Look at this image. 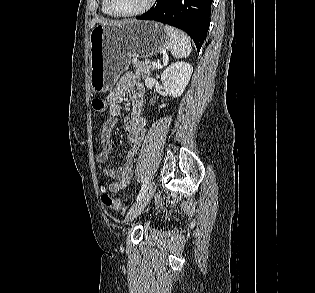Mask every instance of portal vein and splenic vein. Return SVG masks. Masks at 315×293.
<instances>
[{"mask_svg": "<svg viewBox=\"0 0 315 293\" xmlns=\"http://www.w3.org/2000/svg\"><path fill=\"white\" fill-rule=\"evenodd\" d=\"M152 65L155 66L158 69H160L162 67L159 62H153Z\"/></svg>", "mask_w": 315, "mask_h": 293, "instance_id": "portal-vein-and-splenic-vein-1", "label": "portal vein and splenic vein"}]
</instances>
